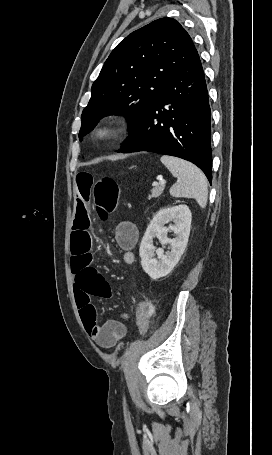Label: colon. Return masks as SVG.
I'll return each mask as SVG.
<instances>
[{
	"mask_svg": "<svg viewBox=\"0 0 272 455\" xmlns=\"http://www.w3.org/2000/svg\"><path fill=\"white\" fill-rule=\"evenodd\" d=\"M120 197L118 184L110 177H103L96 181L93 189L95 210L102 220H106L115 211ZM153 315V306L150 302L139 303L136 309V324L140 335L148 332L150 319Z\"/></svg>",
	"mask_w": 272,
	"mask_h": 455,
	"instance_id": "1",
	"label": "colon"
}]
</instances>
